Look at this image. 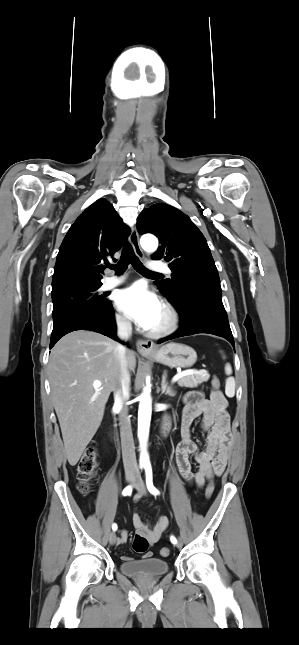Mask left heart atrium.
<instances>
[{
    "instance_id": "obj_1",
    "label": "left heart atrium",
    "mask_w": 299,
    "mask_h": 645,
    "mask_svg": "<svg viewBox=\"0 0 299 645\" xmlns=\"http://www.w3.org/2000/svg\"><path fill=\"white\" fill-rule=\"evenodd\" d=\"M116 306L144 329H150L162 311V304L157 296L139 283L119 291Z\"/></svg>"
}]
</instances>
